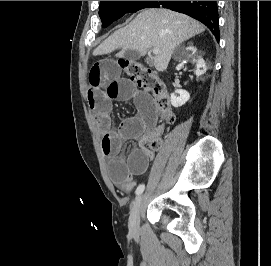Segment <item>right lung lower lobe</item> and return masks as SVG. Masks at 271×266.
<instances>
[{
  "mask_svg": "<svg viewBox=\"0 0 271 266\" xmlns=\"http://www.w3.org/2000/svg\"><path fill=\"white\" fill-rule=\"evenodd\" d=\"M150 7H163L187 14L205 24L219 41L216 1H154Z\"/></svg>",
  "mask_w": 271,
  "mask_h": 266,
  "instance_id": "obj_1",
  "label": "right lung lower lobe"
}]
</instances>
